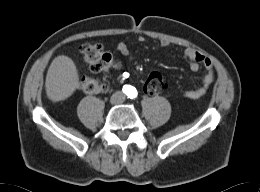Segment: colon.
I'll list each match as a JSON object with an SVG mask.
<instances>
[{"label":"colon","instance_id":"5ec220e1","mask_svg":"<svg viewBox=\"0 0 260 192\" xmlns=\"http://www.w3.org/2000/svg\"><path fill=\"white\" fill-rule=\"evenodd\" d=\"M80 51L85 63L94 72H101L119 66L113 55L106 52L100 44H83ZM79 84L81 89L89 94L105 92L108 88L104 81L90 77H82ZM168 86L169 81L166 75L153 72L147 78L144 90L150 95H156L165 92Z\"/></svg>","mask_w":260,"mask_h":192}]
</instances>
